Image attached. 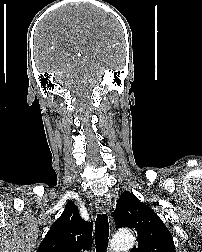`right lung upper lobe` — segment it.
<instances>
[{
  "instance_id": "1",
  "label": "right lung upper lobe",
  "mask_w": 202,
  "mask_h": 252,
  "mask_svg": "<svg viewBox=\"0 0 202 252\" xmlns=\"http://www.w3.org/2000/svg\"><path fill=\"white\" fill-rule=\"evenodd\" d=\"M93 222L84 221L78 207L70 202L52 224L37 252H80L92 244Z\"/></svg>"
}]
</instances>
